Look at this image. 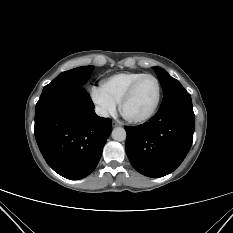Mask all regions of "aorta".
<instances>
[{"mask_svg": "<svg viewBox=\"0 0 233 233\" xmlns=\"http://www.w3.org/2000/svg\"><path fill=\"white\" fill-rule=\"evenodd\" d=\"M111 135H112V138L117 141H124L127 136L125 129L122 127H115L112 130Z\"/></svg>", "mask_w": 233, "mask_h": 233, "instance_id": "1", "label": "aorta"}]
</instances>
